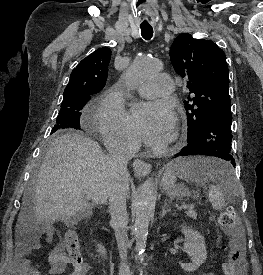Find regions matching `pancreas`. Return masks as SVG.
Listing matches in <instances>:
<instances>
[{
	"mask_svg": "<svg viewBox=\"0 0 263 275\" xmlns=\"http://www.w3.org/2000/svg\"><path fill=\"white\" fill-rule=\"evenodd\" d=\"M186 214L190 218L197 219V213L194 210H188Z\"/></svg>",
	"mask_w": 263,
	"mask_h": 275,
	"instance_id": "cf45deb5",
	"label": "pancreas"
}]
</instances>
